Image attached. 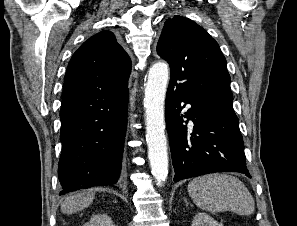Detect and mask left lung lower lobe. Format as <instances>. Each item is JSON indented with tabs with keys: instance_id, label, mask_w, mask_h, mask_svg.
<instances>
[{
	"instance_id": "1",
	"label": "left lung lower lobe",
	"mask_w": 297,
	"mask_h": 226,
	"mask_svg": "<svg viewBox=\"0 0 297 226\" xmlns=\"http://www.w3.org/2000/svg\"><path fill=\"white\" fill-rule=\"evenodd\" d=\"M232 102L233 96L190 90L170 79L165 118L174 181L227 171L251 178ZM186 104L191 108L181 114ZM183 118L192 120L194 126L187 127L188 121Z\"/></svg>"
}]
</instances>
